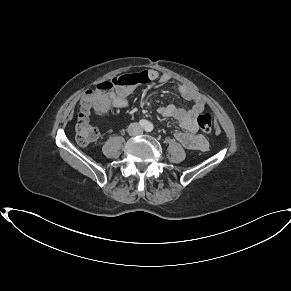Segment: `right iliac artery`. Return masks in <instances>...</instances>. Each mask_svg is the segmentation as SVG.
I'll use <instances>...</instances> for the list:
<instances>
[{"label": "right iliac artery", "instance_id": "obj_1", "mask_svg": "<svg viewBox=\"0 0 291 291\" xmlns=\"http://www.w3.org/2000/svg\"><path fill=\"white\" fill-rule=\"evenodd\" d=\"M139 124H140V126H142V127H146V126L148 125V121H146V120H140V121H139Z\"/></svg>", "mask_w": 291, "mask_h": 291}]
</instances>
